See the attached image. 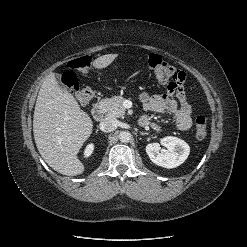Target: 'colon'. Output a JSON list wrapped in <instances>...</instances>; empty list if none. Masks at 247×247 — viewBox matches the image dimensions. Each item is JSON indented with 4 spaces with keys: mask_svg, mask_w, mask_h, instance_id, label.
Returning a JSON list of instances; mask_svg holds the SVG:
<instances>
[{
    "mask_svg": "<svg viewBox=\"0 0 247 247\" xmlns=\"http://www.w3.org/2000/svg\"><path fill=\"white\" fill-rule=\"evenodd\" d=\"M91 65L92 57L89 55L73 59L68 63L70 70L62 76V83L81 104L89 103L94 97V91L90 87L79 85L75 71L85 73L91 68ZM148 65L156 79L168 86L180 84L185 79L184 74L180 70L164 61L158 54L152 53L149 55ZM194 131L197 139L202 140L206 137L208 131L206 117L202 115L196 117Z\"/></svg>",
    "mask_w": 247,
    "mask_h": 247,
    "instance_id": "obj_1",
    "label": "colon"
}]
</instances>
